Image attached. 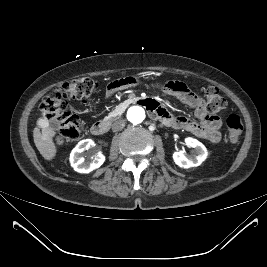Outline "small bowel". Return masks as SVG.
<instances>
[{
    "label": "small bowel",
    "mask_w": 267,
    "mask_h": 267,
    "mask_svg": "<svg viewBox=\"0 0 267 267\" xmlns=\"http://www.w3.org/2000/svg\"><path fill=\"white\" fill-rule=\"evenodd\" d=\"M138 83L135 77H125L111 82L107 89V95L134 86ZM164 92L177 97L182 103L191 107L198 121H193L184 116H174L167 109L153 101L154 113L166 125L175 129H181L193 135L205 139L211 143H218L221 140V120L209 114L206 104L197 92L190 89L180 81H167L161 84Z\"/></svg>",
    "instance_id": "1"
}]
</instances>
